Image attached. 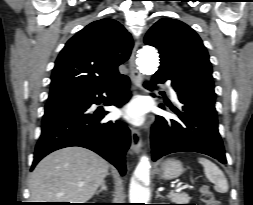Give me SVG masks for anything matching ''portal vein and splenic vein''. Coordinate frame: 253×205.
Segmentation results:
<instances>
[{"label": "portal vein and splenic vein", "mask_w": 253, "mask_h": 205, "mask_svg": "<svg viewBox=\"0 0 253 205\" xmlns=\"http://www.w3.org/2000/svg\"><path fill=\"white\" fill-rule=\"evenodd\" d=\"M189 187V185L188 184H185V185H183V186H178V187H176V191H178V190H182V189H185V188H188Z\"/></svg>", "instance_id": "obj_1"}]
</instances>
